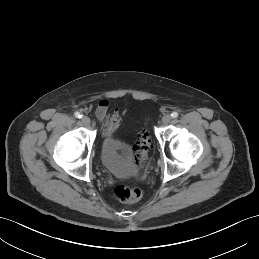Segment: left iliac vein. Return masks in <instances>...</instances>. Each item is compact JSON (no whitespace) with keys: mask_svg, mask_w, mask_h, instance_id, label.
I'll return each mask as SVG.
<instances>
[{"mask_svg":"<svg viewBox=\"0 0 259 259\" xmlns=\"http://www.w3.org/2000/svg\"><path fill=\"white\" fill-rule=\"evenodd\" d=\"M170 121H171V116H170V115L166 114V115L163 116V118H162V123H163L164 125L169 124Z\"/></svg>","mask_w":259,"mask_h":259,"instance_id":"obj_1","label":"left iliac vein"}]
</instances>
